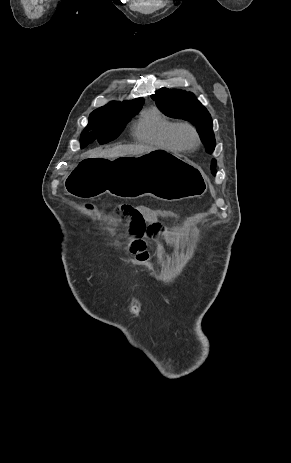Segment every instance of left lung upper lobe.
Listing matches in <instances>:
<instances>
[{"instance_id":"obj_1","label":"left lung upper lobe","mask_w":291,"mask_h":463,"mask_svg":"<svg viewBox=\"0 0 291 463\" xmlns=\"http://www.w3.org/2000/svg\"><path fill=\"white\" fill-rule=\"evenodd\" d=\"M158 108L167 116L186 120L196 126L208 153L215 148L213 121L208 110L196 99L193 93L179 89L161 88L151 95ZM211 171L216 173V160L212 161Z\"/></svg>"}]
</instances>
